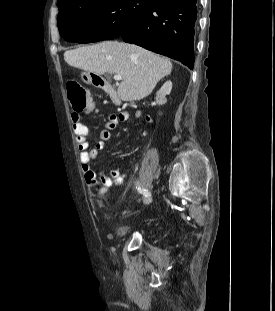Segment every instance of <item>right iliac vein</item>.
I'll return each instance as SVG.
<instances>
[{
  "label": "right iliac vein",
  "mask_w": 275,
  "mask_h": 311,
  "mask_svg": "<svg viewBox=\"0 0 275 311\" xmlns=\"http://www.w3.org/2000/svg\"><path fill=\"white\" fill-rule=\"evenodd\" d=\"M151 200H152V196L150 195V197L144 199V203L148 204V203H150Z\"/></svg>",
  "instance_id": "right-iliac-vein-1"
}]
</instances>
